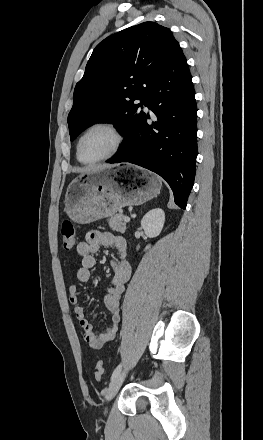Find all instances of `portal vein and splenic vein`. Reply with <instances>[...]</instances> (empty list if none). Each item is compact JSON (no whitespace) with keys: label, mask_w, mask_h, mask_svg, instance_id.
<instances>
[{"label":"portal vein and splenic vein","mask_w":263,"mask_h":440,"mask_svg":"<svg viewBox=\"0 0 263 440\" xmlns=\"http://www.w3.org/2000/svg\"><path fill=\"white\" fill-rule=\"evenodd\" d=\"M123 220H124L125 222H130V218H129L128 216H124Z\"/></svg>","instance_id":"18ae733b"}]
</instances>
